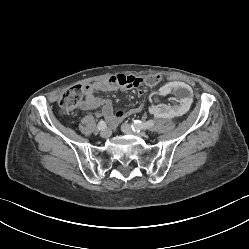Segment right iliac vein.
<instances>
[{
    "instance_id": "right-iliac-vein-1",
    "label": "right iliac vein",
    "mask_w": 249,
    "mask_h": 249,
    "mask_svg": "<svg viewBox=\"0 0 249 249\" xmlns=\"http://www.w3.org/2000/svg\"><path fill=\"white\" fill-rule=\"evenodd\" d=\"M111 135V130L109 128L103 129L100 132V136L103 138H108Z\"/></svg>"
}]
</instances>
